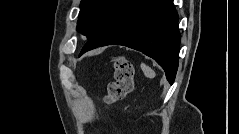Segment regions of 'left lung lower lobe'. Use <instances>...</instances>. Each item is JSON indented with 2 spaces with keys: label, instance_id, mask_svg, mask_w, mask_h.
I'll list each match as a JSON object with an SVG mask.
<instances>
[{
  "label": "left lung lower lobe",
  "instance_id": "1",
  "mask_svg": "<svg viewBox=\"0 0 239 134\" xmlns=\"http://www.w3.org/2000/svg\"><path fill=\"white\" fill-rule=\"evenodd\" d=\"M178 20L173 0H124L106 25L89 38L80 56L99 46H127L153 58L172 84L181 38Z\"/></svg>",
  "mask_w": 239,
  "mask_h": 134
}]
</instances>
